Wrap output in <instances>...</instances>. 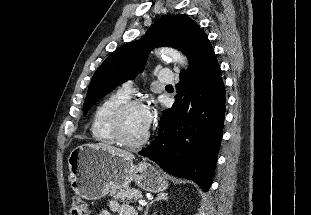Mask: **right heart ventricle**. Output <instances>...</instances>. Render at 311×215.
<instances>
[{"label":"right heart ventricle","mask_w":311,"mask_h":215,"mask_svg":"<svg viewBox=\"0 0 311 215\" xmlns=\"http://www.w3.org/2000/svg\"><path fill=\"white\" fill-rule=\"evenodd\" d=\"M128 99L129 96L118 90L97 105L91 121V134L96 141L108 145L118 143L111 128V116Z\"/></svg>","instance_id":"e07e8e85"}]
</instances>
